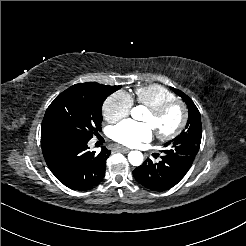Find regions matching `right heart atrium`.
<instances>
[{
	"label": "right heart atrium",
	"mask_w": 246,
	"mask_h": 246,
	"mask_svg": "<svg viewBox=\"0 0 246 246\" xmlns=\"http://www.w3.org/2000/svg\"><path fill=\"white\" fill-rule=\"evenodd\" d=\"M133 98L126 91L112 93L103 103V116L106 121L116 123L129 116L133 107Z\"/></svg>",
	"instance_id": "d8ad5b80"
}]
</instances>
